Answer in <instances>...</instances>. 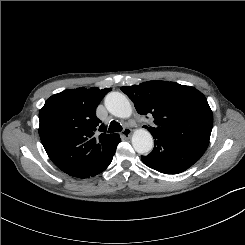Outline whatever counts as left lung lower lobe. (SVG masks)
Segmentation results:
<instances>
[{
  "mask_svg": "<svg viewBox=\"0 0 245 245\" xmlns=\"http://www.w3.org/2000/svg\"><path fill=\"white\" fill-rule=\"evenodd\" d=\"M155 146L147 156H141L145 165L161 173L178 174L196 163L207 148L166 136L153 135Z\"/></svg>",
  "mask_w": 245,
  "mask_h": 245,
  "instance_id": "0a47b994",
  "label": "left lung lower lobe"
}]
</instances>
